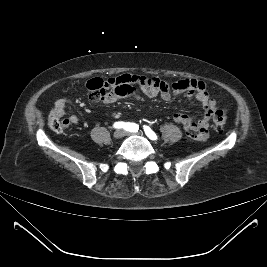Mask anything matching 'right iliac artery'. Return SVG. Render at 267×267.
Returning a JSON list of instances; mask_svg holds the SVG:
<instances>
[{"mask_svg":"<svg viewBox=\"0 0 267 267\" xmlns=\"http://www.w3.org/2000/svg\"><path fill=\"white\" fill-rule=\"evenodd\" d=\"M115 128H124L127 131L137 132L139 127L135 123H124V122H116L114 124Z\"/></svg>","mask_w":267,"mask_h":267,"instance_id":"right-iliac-artery-1","label":"right iliac artery"}]
</instances>
